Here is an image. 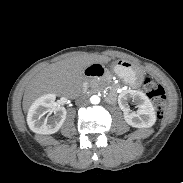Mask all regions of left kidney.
Segmentation results:
<instances>
[{
	"mask_svg": "<svg viewBox=\"0 0 183 183\" xmlns=\"http://www.w3.org/2000/svg\"><path fill=\"white\" fill-rule=\"evenodd\" d=\"M132 99L136 103L138 110L131 111L128 100ZM118 104L124 112V119L132 127L150 128L156 122V113L149 98L137 90H125L118 96Z\"/></svg>",
	"mask_w": 183,
	"mask_h": 183,
	"instance_id": "1",
	"label": "left kidney"
}]
</instances>
